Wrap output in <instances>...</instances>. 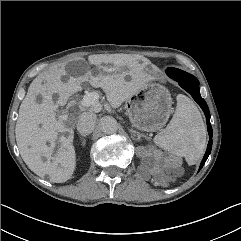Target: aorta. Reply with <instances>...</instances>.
Returning a JSON list of instances; mask_svg holds the SVG:
<instances>
[{
    "label": "aorta",
    "mask_w": 241,
    "mask_h": 241,
    "mask_svg": "<svg viewBox=\"0 0 241 241\" xmlns=\"http://www.w3.org/2000/svg\"><path fill=\"white\" fill-rule=\"evenodd\" d=\"M100 128L105 134H113L118 129V123L115 118L111 116H105L100 120Z\"/></svg>",
    "instance_id": "obj_1"
}]
</instances>
